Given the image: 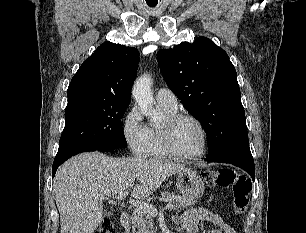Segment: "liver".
Listing matches in <instances>:
<instances>
[{
	"label": "liver",
	"mask_w": 306,
	"mask_h": 233,
	"mask_svg": "<svg viewBox=\"0 0 306 233\" xmlns=\"http://www.w3.org/2000/svg\"><path fill=\"white\" fill-rule=\"evenodd\" d=\"M185 170L179 162L111 158L98 152L70 158L54 178L61 233H93L103 220L105 196L130 190L133 198L144 199L168 177Z\"/></svg>",
	"instance_id": "1"
}]
</instances>
